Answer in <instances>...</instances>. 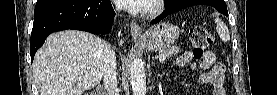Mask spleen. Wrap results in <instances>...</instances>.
Masks as SVG:
<instances>
[{
    "instance_id": "1",
    "label": "spleen",
    "mask_w": 277,
    "mask_h": 95,
    "mask_svg": "<svg viewBox=\"0 0 277 95\" xmlns=\"http://www.w3.org/2000/svg\"><path fill=\"white\" fill-rule=\"evenodd\" d=\"M215 23H216V31L220 39L224 42H228L230 40V34L227 26L219 18L215 19Z\"/></svg>"
}]
</instances>
